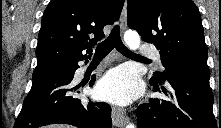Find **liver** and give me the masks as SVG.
<instances>
[{
  "label": "liver",
  "mask_w": 221,
  "mask_h": 128,
  "mask_svg": "<svg viewBox=\"0 0 221 128\" xmlns=\"http://www.w3.org/2000/svg\"><path fill=\"white\" fill-rule=\"evenodd\" d=\"M47 128H72L70 125H49Z\"/></svg>",
  "instance_id": "obj_1"
}]
</instances>
